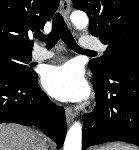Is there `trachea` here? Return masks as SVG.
Returning <instances> with one entry per match:
<instances>
[{
  "instance_id": "3493384b",
  "label": "trachea",
  "mask_w": 139,
  "mask_h": 150,
  "mask_svg": "<svg viewBox=\"0 0 139 150\" xmlns=\"http://www.w3.org/2000/svg\"><path fill=\"white\" fill-rule=\"evenodd\" d=\"M37 38L40 41H43L48 49L53 48L55 44H57L58 40L62 38L67 47L73 51L81 53H95L94 51L83 50L77 45L74 37L65 24L63 17L59 13H57L53 19L51 33L48 35L39 34L37 35Z\"/></svg>"
}]
</instances>
